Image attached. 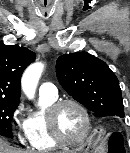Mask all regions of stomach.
Instances as JSON below:
<instances>
[{"label":"stomach","mask_w":130,"mask_h":153,"mask_svg":"<svg viewBox=\"0 0 130 153\" xmlns=\"http://www.w3.org/2000/svg\"><path fill=\"white\" fill-rule=\"evenodd\" d=\"M105 141L103 130H95L86 143L76 150L72 151V153H101V149L103 147Z\"/></svg>","instance_id":"0dacf381"}]
</instances>
